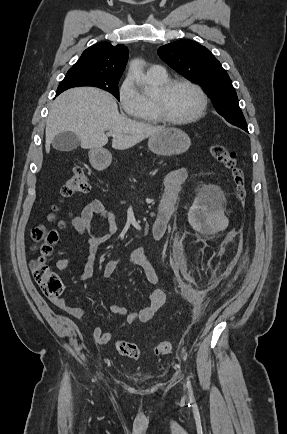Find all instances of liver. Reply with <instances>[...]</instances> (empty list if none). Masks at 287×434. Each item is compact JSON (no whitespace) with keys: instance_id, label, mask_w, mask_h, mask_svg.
I'll return each mask as SVG.
<instances>
[{"instance_id":"1","label":"liver","mask_w":287,"mask_h":434,"mask_svg":"<svg viewBox=\"0 0 287 434\" xmlns=\"http://www.w3.org/2000/svg\"><path fill=\"white\" fill-rule=\"evenodd\" d=\"M165 127L131 120L120 115L111 94L93 87L70 89L53 102L46 121L45 149L56 135L72 132L83 148L98 149L108 142L105 131L112 135V147L125 150L157 134Z\"/></svg>"}]
</instances>
